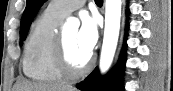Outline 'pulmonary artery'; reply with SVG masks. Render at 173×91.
I'll use <instances>...</instances> for the list:
<instances>
[{
  "instance_id": "e3ab8cb5",
  "label": "pulmonary artery",
  "mask_w": 173,
  "mask_h": 91,
  "mask_svg": "<svg viewBox=\"0 0 173 91\" xmlns=\"http://www.w3.org/2000/svg\"><path fill=\"white\" fill-rule=\"evenodd\" d=\"M84 3H85L84 0L51 1L49 4L48 10L62 18H65V17L69 16L73 11L82 7Z\"/></svg>"
}]
</instances>
